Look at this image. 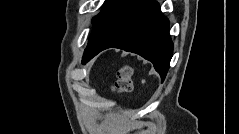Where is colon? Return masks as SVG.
<instances>
[{"instance_id":"colon-1","label":"colon","mask_w":239,"mask_h":134,"mask_svg":"<svg viewBox=\"0 0 239 134\" xmlns=\"http://www.w3.org/2000/svg\"><path fill=\"white\" fill-rule=\"evenodd\" d=\"M132 68L123 65L117 72V80L113 85V90L117 93L129 92L132 89Z\"/></svg>"}]
</instances>
